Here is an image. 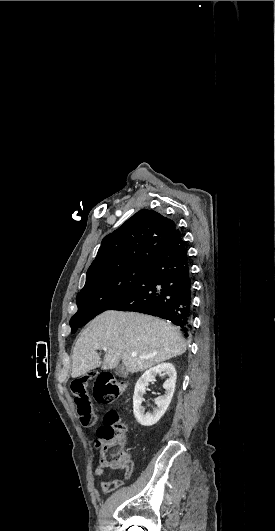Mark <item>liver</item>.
<instances>
[{
  "label": "liver",
  "mask_w": 275,
  "mask_h": 531,
  "mask_svg": "<svg viewBox=\"0 0 275 531\" xmlns=\"http://www.w3.org/2000/svg\"><path fill=\"white\" fill-rule=\"evenodd\" d=\"M107 349L104 361L96 351ZM137 353V357H131ZM186 353V343L177 327L166 321L123 311H105L81 333L72 355L71 377L92 369H115L119 361L129 373L146 371L154 365ZM143 357V359H139Z\"/></svg>",
  "instance_id": "liver-1"
}]
</instances>
